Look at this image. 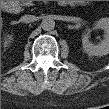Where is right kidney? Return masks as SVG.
<instances>
[{
	"instance_id": "1",
	"label": "right kidney",
	"mask_w": 109,
	"mask_h": 109,
	"mask_svg": "<svg viewBox=\"0 0 109 109\" xmlns=\"http://www.w3.org/2000/svg\"><path fill=\"white\" fill-rule=\"evenodd\" d=\"M12 41V36H7L4 38V47H7Z\"/></svg>"
}]
</instances>
